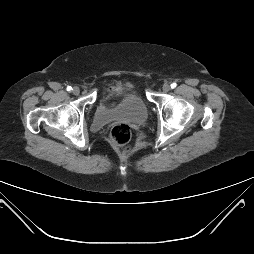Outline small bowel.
Segmentation results:
<instances>
[{"label":"small bowel","instance_id":"obj_1","mask_svg":"<svg viewBox=\"0 0 254 254\" xmlns=\"http://www.w3.org/2000/svg\"><path fill=\"white\" fill-rule=\"evenodd\" d=\"M124 89H132V85L128 83L125 87L109 85L105 90L104 94L107 96L108 102L110 103L114 97L119 95Z\"/></svg>","mask_w":254,"mask_h":254}]
</instances>
